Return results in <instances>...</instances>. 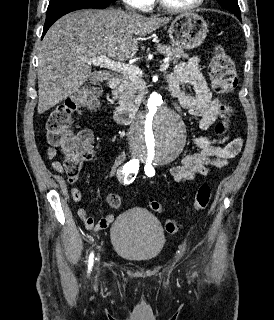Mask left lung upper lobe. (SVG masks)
Instances as JSON below:
<instances>
[{
	"instance_id": "left-lung-upper-lobe-1",
	"label": "left lung upper lobe",
	"mask_w": 274,
	"mask_h": 320,
	"mask_svg": "<svg viewBox=\"0 0 274 320\" xmlns=\"http://www.w3.org/2000/svg\"><path fill=\"white\" fill-rule=\"evenodd\" d=\"M217 1L223 8L229 10L233 14L241 13L237 0H217Z\"/></svg>"
}]
</instances>
